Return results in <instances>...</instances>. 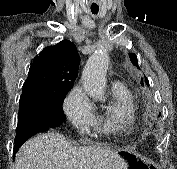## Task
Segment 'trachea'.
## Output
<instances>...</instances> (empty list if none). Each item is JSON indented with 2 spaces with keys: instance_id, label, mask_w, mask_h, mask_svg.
<instances>
[{
  "instance_id": "1",
  "label": "trachea",
  "mask_w": 177,
  "mask_h": 169,
  "mask_svg": "<svg viewBox=\"0 0 177 169\" xmlns=\"http://www.w3.org/2000/svg\"><path fill=\"white\" fill-rule=\"evenodd\" d=\"M98 10H99V7H91V12L93 14H97L98 13Z\"/></svg>"
}]
</instances>
